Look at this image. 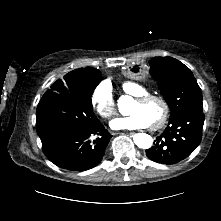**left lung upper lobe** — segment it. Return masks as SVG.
Listing matches in <instances>:
<instances>
[{"label":"left lung upper lobe","instance_id":"5c2ea615","mask_svg":"<svg viewBox=\"0 0 221 221\" xmlns=\"http://www.w3.org/2000/svg\"><path fill=\"white\" fill-rule=\"evenodd\" d=\"M149 64L150 72L171 108L170 119L179 117L186 111L203 108L201 89L187 66L172 57H155ZM174 144L172 141L170 146L164 148V155H174Z\"/></svg>","mask_w":221,"mask_h":221}]
</instances>
